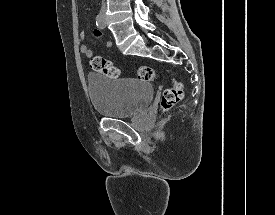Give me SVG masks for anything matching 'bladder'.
<instances>
[{
	"mask_svg": "<svg viewBox=\"0 0 275 215\" xmlns=\"http://www.w3.org/2000/svg\"><path fill=\"white\" fill-rule=\"evenodd\" d=\"M87 82L94 110L108 118L134 116L149 106L154 94L151 84L136 78L111 79L89 74Z\"/></svg>",
	"mask_w": 275,
	"mask_h": 215,
	"instance_id": "31cf9c89",
	"label": "bladder"
}]
</instances>
